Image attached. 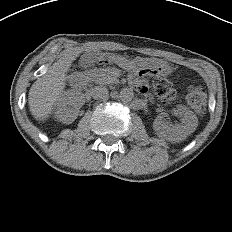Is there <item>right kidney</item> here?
<instances>
[{
  "label": "right kidney",
  "instance_id": "1",
  "mask_svg": "<svg viewBox=\"0 0 232 232\" xmlns=\"http://www.w3.org/2000/svg\"><path fill=\"white\" fill-rule=\"evenodd\" d=\"M72 91H64L53 104L54 117L63 123H72L78 115Z\"/></svg>",
  "mask_w": 232,
  "mask_h": 232
}]
</instances>
